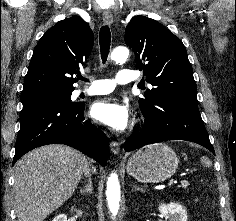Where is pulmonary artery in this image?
<instances>
[{
  "label": "pulmonary artery",
  "instance_id": "pulmonary-artery-1",
  "mask_svg": "<svg viewBox=\"0 0 236 221\" xmlns=\"http://www.w3.org/2000/svg\"><path fill=\"white\" fill-rule=\"evenodd\" d=\"M138 78L137 74L127 70L122 69L118 71L115 79H94L88 78L91 82V86L88 88H79L75 91L76 96L86 95H102L112 92L115 89L116 83L126 84L135 81Z\"/></svg>",
  "mask_w": 236,
  "mask_h": 221
}]
</instances>
